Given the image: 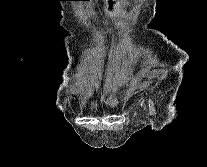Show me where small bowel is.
Instances as JSON below:
<instances>
[{
  "label": "small bowel",
  "instance_id": "obj_1",
  "mask_svg": "<svg viewBox=\"0 0 207 167\" xmlns=\"http://www.w3.org/2000/svg\"><path fill=\"white\" fill-rule=\"evenodd\" d=\"M113 3H124V0H105V5H113ZM106 14H117V10H106ZM118 14H125V10H118Z\"/></svg>",
  "mask_w": 207,
  "mask_h": 167
}]
</instances>
